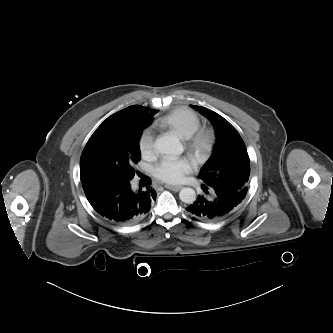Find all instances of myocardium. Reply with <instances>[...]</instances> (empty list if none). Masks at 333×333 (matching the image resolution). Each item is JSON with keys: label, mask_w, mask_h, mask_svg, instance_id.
<instances>
[{"label": "myocardium", "mask_w": 333, "mask_h": 333, "mask_svg": "<svg viewBox=\"0 0 333 333\" xmlns=\"http://www.w3.org/2000/svg\"><path fill=\"white\" fill-rule=\"evenodd\" d=\"M216 142L215 131L211 128H202L187 139L186 147L196 164H204L212 156Z\"/></svg>", "instance_id": "obj_1"}]
</instances>
